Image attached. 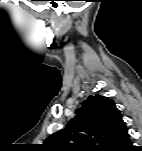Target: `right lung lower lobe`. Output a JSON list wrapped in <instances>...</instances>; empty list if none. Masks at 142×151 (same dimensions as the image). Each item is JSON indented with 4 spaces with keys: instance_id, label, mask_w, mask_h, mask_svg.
Masks as SVG:
<instances>
[{
    "instance_id": "right-lung-lower-lobe-1",
    "label": "right lung lower lobe",
    "mask_w": 142,
    "mask_h": 151,
    "mask_svg": "<svg viewBox=\"0 0 142 151\" xmlns=\"http://www.w3.org/2000/svg\"><path fill=\"white\" fill-rule=\"evenodd\" d=\"M130 150H134V147L132 146V144L129 140L125 145H123L122 147H120L116 151H130Z\"/></svg>"
}]
</instances>
